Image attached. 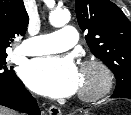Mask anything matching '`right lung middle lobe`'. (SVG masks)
<instances>
[{
	"mask_svg": "<svg viewBox=\"0 0 131 115\" xmlns=\"http://www.w3.org/2000/svg\"><path fill=\"white\" fill-rule=\"evenodd\" d=\"M6 57V53L0 54V82H10L17 77L12 68L6 66Z\"/></svg>",
	"mask_w": 131,
	"mask_h": 115,
	"instance_id": "dd1d6c3e",
	"label": "right lung middle lobe"
}]
</instances>
